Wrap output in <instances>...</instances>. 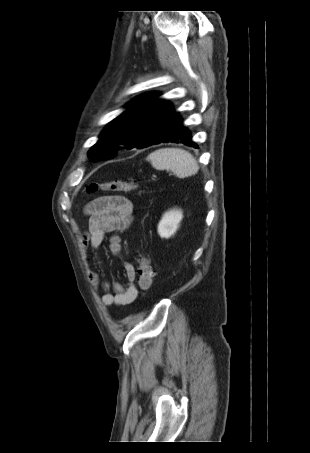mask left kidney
<instances>
[{
  "label": "left kidney",
  "mask_w": 310,
  "mask_h": 453,
  "mask_svg": "<svg viewBox=\"0 0 310 453\" xmlns=\"http://www.w3.org/2000/svg\"><path fill=\"white\" fill-rule=\"evenodd\" d=\"M183 218V212L180 209H173L164 213L158 224V234L161 238H170L173 236Z\"/></svg>",
  "instance_id": "obj_1"
}]
</instances>
